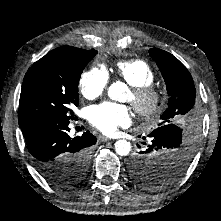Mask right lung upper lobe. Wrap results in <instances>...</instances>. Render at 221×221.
Masks as SVG:
<instances>
[{
	"label": "right lung upper lobe",
	"instance_id": "right-lung-upper-lobe-1",
	"mask_svg": "<svg viewBox=\"0 0 221 221\" xmlns=\"http://www.w3.org/2000/svg\"><path fill=\"white\" fill-rule=\"evenodd\" d=\"M86 53L87 50H82L76 47L64 46L50 51L43 58H73L76 56L85 55Z\"/></svg>",
	"mask_w": 221,
	"mask_h": 221
}]
</instances>
